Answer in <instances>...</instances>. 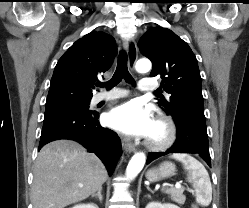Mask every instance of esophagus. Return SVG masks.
Returning a JSON list of instances; mask_svg holds the SVG:
<instances>
[{"label": "esophagus", "instance_id": "1", "mask_svg": "<svg viewBox=\"0 0 249 208\" xmlns=\"http://www.w3.org/2000/svg\"><path fill=\"white\" fill-rule=\"evenodd\" d=\"M127 54H128V64L131 69H134L135 63L138 58V49L135 41L133 39L127 40L125 42ZM123 146L128 153L135 152V145L127 138L123 140Z\"/></svg>", "mask_w": 249, "mask_h": 208}]
</instances>
